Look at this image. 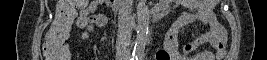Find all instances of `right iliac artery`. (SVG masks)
Returning a JSON list of instances; mask_svg holds the SVG:
<instances>
[{
	"label": "right iliac artery",
	"mask_w": 267,
	"mask_h": 60,
	"mask_svg": "<svg viewBox=\"0 0 267 60\" xmlns=\"http://www.w3.org/2000/svg\"><path fill=\"white\" fill-rule=\"evenodd\" d=\"M138 55L137 54H132V56L129 58V60H137Z\"/></svg>",
	"instance_id": "right-iliac-artery-1"
}]
</instances>
